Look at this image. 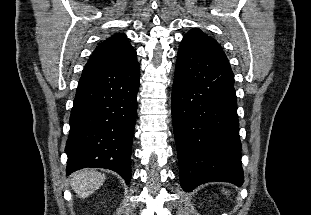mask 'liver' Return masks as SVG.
<instances>
[{"label":"liver","mask_w":311,"mask_h":215,"mask_svg":"<svg viewBox=\"0 0 311 215\" xmlns=\"http://www.w3.org/2000/svg\"><path fill=\"white\" fill-rule=\"evenodd\" d=\"M105 175L93 169H83L72 174L71 187L79 198H86L104 182Z\"/></svg>","instance_id":"liver-1"}]
</instances>
